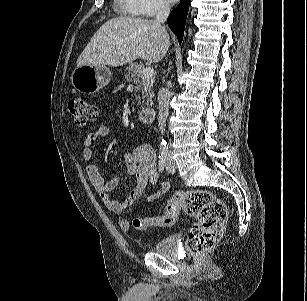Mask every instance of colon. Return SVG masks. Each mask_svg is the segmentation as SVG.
Instances as JSON below:
<instances>
[{
  "label": "colon",
  "instance_id": "1",
  "mask_svg": "<svg viewBox=\"0 0 307 301\" xmlns=\"http://www.w3.org/2000/svg\"><path fill=\"white\" fill-rule=\"evenodd\" d=\"M69 110L79 126L95 121L98 116L97 106L82 98L71 99ZM181 212L196 219L188 229L186 246L189 252L203 254L221 239L227 220L226 205L214 194L203 189L176 192L174 197L168 200L165 214L136 218L133 220V226L137 230L169 227L178 220Z\"/></svg>",
  "mask_w": 307,
  "mask_h": 301
}]
</instances>
